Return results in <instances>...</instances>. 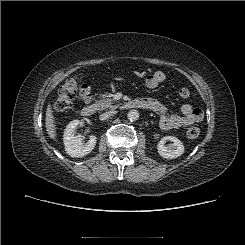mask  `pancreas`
Instances as JSON below:
<instances>
[{
  "instance_id": "obj_1",
  "label": "pancreas",
  "mask_w": 245,
  "mask_h": 245,
  "mask_svg": "<svg viewBox=\"0 0 245 245\" xmlns=\"http://www.w3.org/2000/svg\"><path fill=\"white\" fill-rule=\"evenodd\" d=\"M113 102H114L113 99H101L95 101L94 105L98 110H105V109L114 110L118 107V105L114 104Z\"/></svg>"
}]
</instances>
